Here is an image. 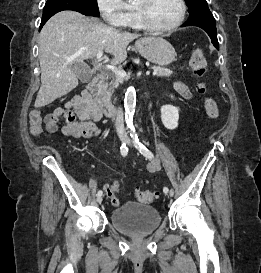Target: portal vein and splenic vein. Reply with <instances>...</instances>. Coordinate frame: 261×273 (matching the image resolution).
<instances>
[{
	"label": "portal vein and splenic vein",
	"mask_w": 261,
	"mask_h": 273,
	"mask_svg": "<svg viewBox=\"0 0 261 273\" xmlns=\"http://www.w3.org/2000/svg\"><path fill=\"white\" fill-rule=\"evenodd\" d=\"M102 55H103V51H99L97 53L96 57L98 61L102 60ZM105 68L108 70H111L114 74H116L119 77L124 78L126 76V72L123 69L116 67L115 65H106ZM156 74H157V70H154L153 75H156Z\"/></svg>",
	"instance_id": "obj_1"
}]
</instances>
